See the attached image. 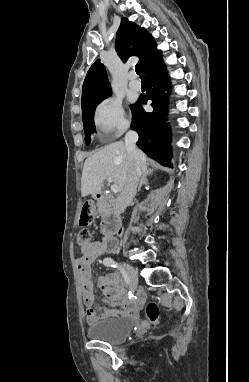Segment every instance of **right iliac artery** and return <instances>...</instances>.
I'll use <instances>...</instances> for the list:
<instances>
[{
  "label": "right iliac artery",
  "mask_w": 249,
  "mask_h": 382,
  "mask_svg": "<svg viewBox=\"0 0 249 382\" xmlns=\"http://www.w3.org/2000/svg\"><path fill=\"white\" fill-rule=\"evenodd\" d=\"M103 263L105 266H108V267H113V268H118L124 278L125 281H127L128 279V276H127V273L126 271L121 267L119 266L112 258H105L103 260Z\"/></svg>",
  "instance_id": "1"
}]
</instances>
